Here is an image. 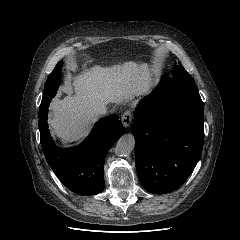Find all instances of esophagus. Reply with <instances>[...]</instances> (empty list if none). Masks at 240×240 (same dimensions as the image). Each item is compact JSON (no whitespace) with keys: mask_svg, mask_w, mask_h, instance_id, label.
Here are the masks:
<instances>
[{"mask_svg":"<svg viewBox=\"0 0 240 240\" xmlns=\"http://www.w3.org/2000/svg\"><path fill=\"white\" fill-rule=\"evenodd\" d=\"M132 118H133V114H132L131 110H126L122 114L121 121H122V124L125 128H127L131 124Z\"/></svg>","mask_w":240,"mask_h":240,"instance_id":"obj_1","label":"esophagus"}]
</instances>
